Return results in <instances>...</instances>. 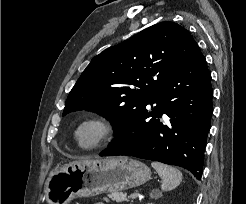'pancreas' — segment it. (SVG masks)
I'll return each instance as SVG.
<instances>
[{
	"label": "pancreas",
	"instance_id": "cf45deb5",
	"mask_svg": "<svg viewBox=\"0 0 246 204\" xmlns=\"http://www.w3.org/2000/svg\"><path fill=\"white\" fill-rule=\"evenodd\" d=\"M108 197L111 200L116 201L118 203L123 202V201H128L126 198V194L123 192L112 191V192H110Z\"/></svg>",
	"mask_w": 246,
	"mask_h": 204
}]
</instances>
